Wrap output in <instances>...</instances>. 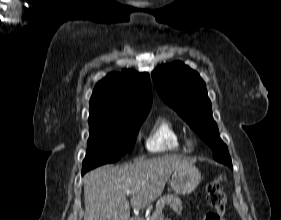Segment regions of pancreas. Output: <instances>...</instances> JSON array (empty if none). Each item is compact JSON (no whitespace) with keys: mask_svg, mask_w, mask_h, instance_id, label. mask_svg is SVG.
Here are the masks:
<instances>
[{"mask_svg":"<svg viewBox=\"0 0 281 220\" xmlns=\"http://www.w3.org/2000/svg\"><path fill=\"white\" fill-rule=\"evenodd\" d=\"M166 205H169L176 213L181 214L182 204L180 198L176 195L168 194L157 201L155 211L150 220H162V210Z\"/></svg>","mask_w":281,"mask_h":220,"instance_id":"1","label":"pancreas"}]
</instances>
